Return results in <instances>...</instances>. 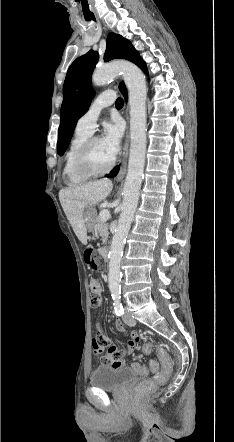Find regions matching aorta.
<instances>
[{
	"label": "aorta",
	"mask_w": 234,
	"mask_h": 442,
	"mask_svg": "<svg viewBox=\"0 0 234 442\" xmlns=\"http://www.w3.org/2000/svg\"><path fill=\"white\" fill-rule=\"evenodd\" d=\"M122 74L129 91L130 107V152L128 172L123 190V203L109 251V290L120 293V263L124 244L138 205L146 155V80L142 71L128 61L114 62L97 68L92 75V84L103 86Z\"/></svg>",
	"instance_id": "1"
}]
</instances>
